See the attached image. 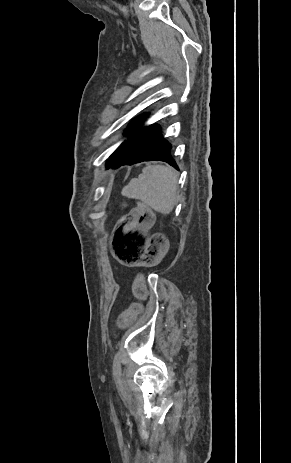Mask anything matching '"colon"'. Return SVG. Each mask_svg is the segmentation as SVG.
I'll list each match as a JSON object with an SVG mask.
<instances>
[{
	"mask_svg": "<svg viewBox=\"0 0 291 463\" xmlns=\"http://www.w3.org/2000/svg\"><path fill=\"white\" fill-rule=\"evenodd\" d=\"M153 223V212L144 203L137 206L117 222L111 237V253L114 259L124 266H139L156 258L166 247L165 236L154 233L147 237L143 229ZM136 292L142 294L139 284ZM135 308L127 310L118 317V325H126L132 318Z\"/></svg>",
	"mask_w": 291,
	"mask_h": 463,
	"instance_id": "colon-1",
	"label": "colon"
}]
</instances>
